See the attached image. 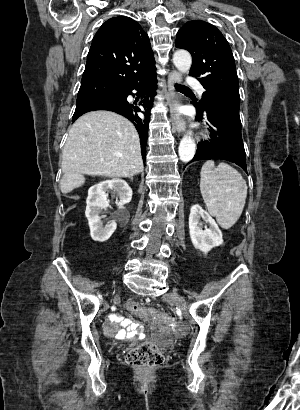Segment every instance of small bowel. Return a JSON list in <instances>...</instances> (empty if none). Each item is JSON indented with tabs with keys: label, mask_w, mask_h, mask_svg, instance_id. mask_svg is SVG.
<instances>
[{
	"label": "small bowel",
	"mask_w": 300,
	"mask_h": 410,
	"mask_svg": "<svg viewBox=\"0 0 300 410\" xmlns=\"http://www.w3.org/2000/svg\"><path fill=\"white\" fill-rule=\"evenodd\" d=\"M156 329H163L164 327H155ZM138 330V325L132 321L125 319L118 315H112L110 317V323L106 326L105 332L108 335H123L131 336L135 334Z\"/></svg>",
	"instance_id": "1"
}]
</instances>
